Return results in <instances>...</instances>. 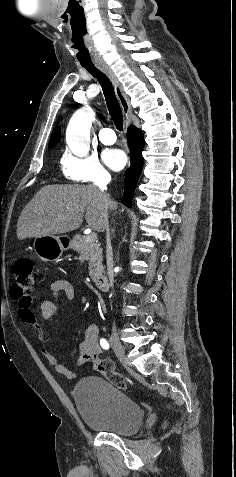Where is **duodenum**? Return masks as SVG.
<instances>
[{"label": "duodenum", "instance_id": "1", "mask_svg": "<svg viewBox=\"0 0 236 477\" xmlns=\"http://www.w3.org/2000/svg\"><path fill=\"white\" fill-rule=\"evenodd\" d=\"M95 285L101 292H106L109 288V282L107 277L99 276L95 279Z\"/></svg>", "mask_w": 236, "mask_h": 477}]
</instances>
